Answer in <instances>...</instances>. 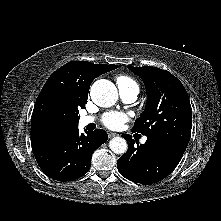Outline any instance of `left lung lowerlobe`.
<instances>
[{"instance_id":"1","label":"left lung lower lobe","mask_w":221,"mask_h":221,"mask_svg":"<svg viewBox=\"0 0 221 221\" xmlns=\"http://www.w3.org/2000/svg\"><path fill=\"white\" fill-rule=\"evenodd\" d=\"M127 152L117 161V168L125 178L143 185H151L169 175L179 164L185 149L161 138L147 137L145 144L123 134Z\"/></svg>"}]
</instances>
